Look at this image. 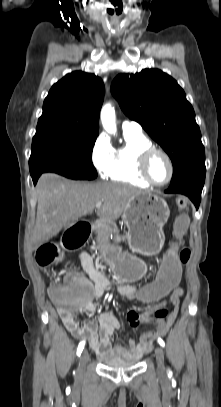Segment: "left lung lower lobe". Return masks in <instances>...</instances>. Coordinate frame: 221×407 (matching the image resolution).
<instances>
[{
    "instance_id": "obj_1",
    "label": "left lung lower lobe",
    "mask_w": 221,
    "mask_h": 407,
    "mask_svg": "<svg viewBox=\"0 0 221 407\" xmlns=\"http://www.w3.org/2000/svg\"><path fill=\"white\" fill-rule=\"evenodd\" d=\"M205 163L190 168L176 180L170 183L166 193H179L188 196L198 209L201 192L205 181Z\"/></svg>"
}]
</instances>
